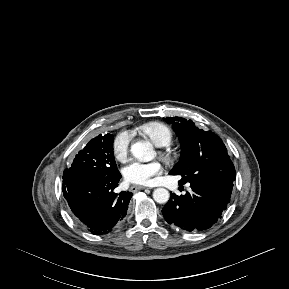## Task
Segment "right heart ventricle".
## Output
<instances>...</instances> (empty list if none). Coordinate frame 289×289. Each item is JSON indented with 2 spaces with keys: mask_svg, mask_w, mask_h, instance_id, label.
I'll list each match as a JSON object with an SVG mask.
<instances>
[{
  "mask_svg": "<svg viewBox=\"0 0 289 289\" xmlns=\"http://www.w3.org/2000/svg\"><path fill=\"white\" fill-rule=\"evenodd\" d=\"M139 131L159 147H164L172 141L171 130L162 123L151 122L145 124L139 128Z\"/></svg>",
  "mask_w": 289,
  "mask_h": 289,
  "instance_id": "right-heart-ventricle-1",
  "label": "right heart ventricle"
}]
</instances>
